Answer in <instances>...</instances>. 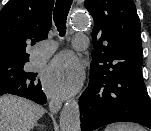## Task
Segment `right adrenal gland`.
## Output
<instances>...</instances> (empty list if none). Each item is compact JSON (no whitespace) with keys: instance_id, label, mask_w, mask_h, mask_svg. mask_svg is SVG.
I'll list each match as a JSON object with an SVG mask.
<instances>
[{"instance_id":"right-adrenal-gland-1","label":"right adrenal gland","mask_w":151,"mask_h":131,"mask_svg":"<svg viewBox=\"0 0 151 131\" xmlns=\"http://www.w3.org/2000/svg\"><path fill=\"white\" fill-rule=\"evenodd\" d=\"M36 126H39V127H41L42 129H43V125H39V124H35Z\"/></svg>"}]
</instances>
